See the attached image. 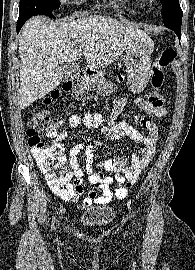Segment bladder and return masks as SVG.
<instances>
[{
    "instance_id": "bladder-1",
    "label": "bladder",
    "mask_w": 195,
    "mask_h": 270,
    "mask_svg": "<svg viewBox=\"0 0 195 270\" xmlns=\"http://www.w3.org/2000/svg\"><path fill=\"white\" fill-rule=\"evenodd\" d=\"M115 216L116 213L112 207H92L82 213L80 224L92 230L105 229L113 223Z\"/></svg>"
}]
</instances>
